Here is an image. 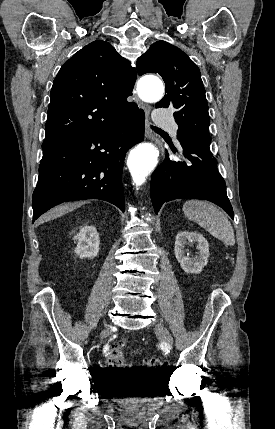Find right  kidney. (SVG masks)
Returning <instances> with one entry per match:
<instances>
[{
  "instance_id": "ca27d5eb",
  "label": "right kidney",
  "mask_w": 275,
  "mask_h": 429,
  "mask_svg": "<svg viewBox=\"0 0 275 429\" xmlns=\"http://www.w3.org/2000/svg\"><path fill=\"white\" fill-rule=\"evenodd\" d=\"M77 241L75 253L80 258H94L99 252V234L94 226H84L79 233L74 236Z\"/></svg>"
}]
</instances>
